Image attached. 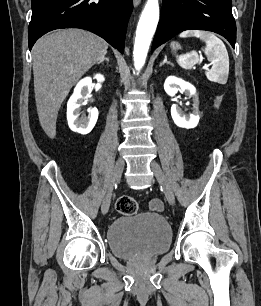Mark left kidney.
Listing matches in <instances>:
<instances>
[{
    "mask_svg": "<svg viewBox=\"0 0 261 306\" xmlns=\"http://www.w3.org/2000/svg\"><path fill=\"white\" fill-rule=\"evenodd\" d=\"M164 90L171 97H174L178 91L193 97V112L190 115L183 114L181 109L176 104H173L171 107V116L178 127L186 129L195 128L200 119L198 108L199 99L196 95V88L180 78L170 76L165 80Z\"/></svg>",
    "mask_w": 261,
    "mask_h": 306,
    "instance_id": "obj_1",
    "label": "left kidney"
}]
</instances>
